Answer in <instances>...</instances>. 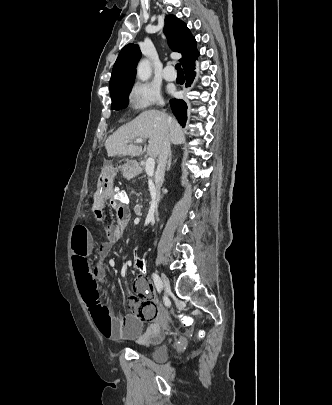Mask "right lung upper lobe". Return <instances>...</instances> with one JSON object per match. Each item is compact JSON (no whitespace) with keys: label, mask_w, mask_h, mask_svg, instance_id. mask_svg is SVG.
<instances>
[{"label":"right lung upper lobe","mask_w":332,"mask_h":405,"mask_svg":"<svg viewBox=\"0 0 332 405\" xmlns=\"http://www.w3.org/2000/svg\"><path fill=\"white\" fill-rule=\"evenodd\" d=\"M164 33L167 36L168 44L172 51L182 54L180 62L183 67L195 61L199 52L196 48L195 38L190 33L186 24L174 15L165 17ZM141 57V51L138 45L128 44L121 52L113 66L110 79V89L122 82L134 80L135 67Z\"/></svg>","instance_id":"1"}]
</instances>
